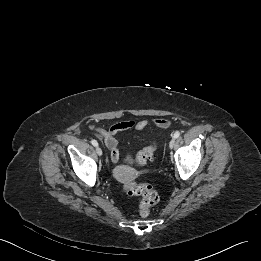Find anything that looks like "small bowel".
Returning <instances> with one entry per match:
<instances>
[{
  "mask_svg": "<svg viewBox=\"0 0 261 261\" xmlns=\"http://www.w3.org/2000/svg\"><path fill=\"white\" fill-rule=\"evenodd\" d=\"M170 125V121L166 119H153V120H140V121H121L113 124L108 130L99 127H91V131L94 135L103 141L110 150V159L112 162H117L120 153V144L116 138L119 132L129 129L143 130L148 126H154L157 128H167Z\"/></svg>",
  "mask_w": 261,
  "mask_h": 261,
  "instance_id": "obj_1",
  "label": "small bowel"
}]
</instances>
